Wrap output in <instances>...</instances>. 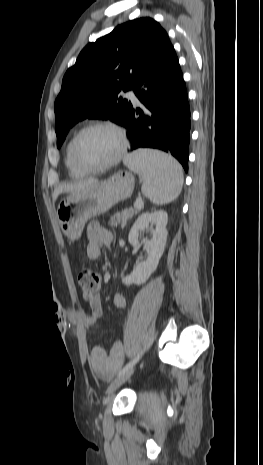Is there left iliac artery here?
Segmentation results:
<instances>
[{"label":"left iliac artery","mask_w":263,"mask_h":465,"mask_svg":"<svg viewBox=\"0 0 263 465\" xmlns=\"http://www.w3.org/2000/svg\"><path fill=\"white\" fill-rule=\"evenodd\" d=\"M139 358H140V354H139L136 358L132 359L129 363H127V364L120 370V372L118 373V376H120V375L124 374L125 372H127V371L139 360Z\"/></svg>","instance_id":"1"}]
</instances>
